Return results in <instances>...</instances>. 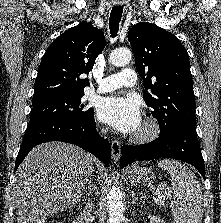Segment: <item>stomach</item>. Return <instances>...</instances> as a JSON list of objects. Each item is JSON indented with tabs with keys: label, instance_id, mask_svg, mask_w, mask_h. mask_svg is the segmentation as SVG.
Listing matches in <instances>:
<instances>
[{
	"label": "stomach",
	"instance_id": "obj_1",
	"mask_svg": "<svg viewBox=\"0 0 221 223\" xmlns=\"http://www.w3.org/2000/svg\"><path fill=\"white\" fill-rule=\"evenodd\" d=\"M128 177L132 183H141L152 179L154 177V173L150 168L134 166L130 169Z\"/></svg>",
	"mask_w": 221,
	"mask_h": 223
}]
</instances>
